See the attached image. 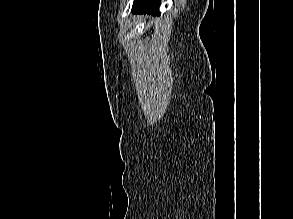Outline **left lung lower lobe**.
Instances as JSON below:
<instances>
[{
	"instance_id": "1",
	"label": "left lung lower lobe",
	"mask_w": 293,
	"mask_h": 219,
	"mask_svg": "<svg viewBox=\"0 0 293 219\" xmlns=\"http://www.w3.org/2000/svg\"><path fill=\"white\" fill-rule=\"evenodd\" d=\"M160 0H134L132 11L134 13H153L159 14L158 9Z\"/></svg>"
}]
</instances>
